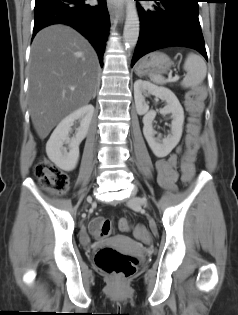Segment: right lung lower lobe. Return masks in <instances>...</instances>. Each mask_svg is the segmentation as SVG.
<instances>
[{
	"label": "right lung lower lobe",
	"instance_id": "1",
	"mask_svg": "<svg viewBox=\"0 0 238 315\" xmlns=\"http://www.w3.org/2000/svg\"><path fill=\"white\" fill-rule=\"evenodd\" d=\"M34 12L33 37L39 30L52 24L70 25L90 41L103 66L110 25L106 0L97 6L85 4V0H35Z\"/></svg>",
	"mask_w": 238,
	"mask_h": 315
}]
</instances>
